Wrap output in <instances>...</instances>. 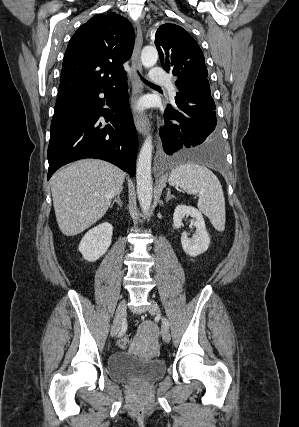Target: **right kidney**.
I'll list each match as a JSON object with an SVG mask.
<instances>
[{
  "label": "right kidney",
  "instance_id": "ca27d5eb",
  "mask_svg": "<svg viewBox=\"0 0 299 427\" xmlns=\"http://www.w3.org/2000/svg\"><path fill=\"white\" fill-rule=\"evenodd\" d=\"M113 227L108 222H103L89 230L79 244V251L83 258L94 262L103 256L112 240Z\"/></svg>",
  "mask_w": 299,
  "mask_h": 427
}]
</instances>
